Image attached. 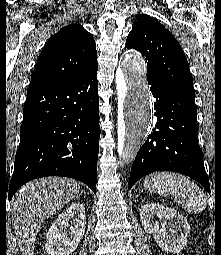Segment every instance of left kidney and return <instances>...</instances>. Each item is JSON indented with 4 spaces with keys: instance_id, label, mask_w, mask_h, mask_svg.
Wrapping results in <instances>:
<instances>
[{
    "instance_id": "obj_1",
    "label": "left kidney",
    "mask_w": 221,
    "mask_h": 255,
    "mask_svg": "<svg viewBox=\"0 0 221 255\" xmlns=\"http://www.w3.org/2000/svg\"><path fill=\"white\" fill-rule=\"evenodd\" d=\"M155 217L162 220L154 221ZM140 219L144 230L153 234L159 247L165 252L179 253L187 244L190 225L187 219L173 208L156 203H147L140 209Z\"/></svg>"
}]
</instances>
